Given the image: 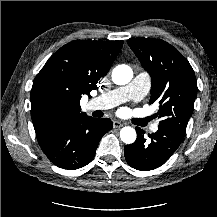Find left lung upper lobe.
<instances>
[{
    "mask_svg": "<svg viewBox=\"0 0 217 217\" xmlns=\"http://www.w3.org/2000/svg\"><path fill=\"white\" fill-rule=\"evenodd\" d=\"M152 78L150 103L160 104V126L185 135L197 95L195 73L188 60L169 43L152 38L127 41Z\"/></svg>",
    "mask_w": 217,
    "mask_h": 217,
    "instance_id": "5c2ea615",
    "label": "left lung upper lobe"
}]
</instances>
